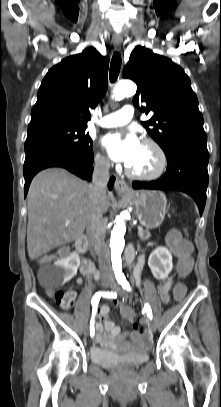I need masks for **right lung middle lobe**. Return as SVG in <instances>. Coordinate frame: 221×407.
Masks as SVG:
<instances>
[{
	"mask_svg": "<svg viewBox=\"0 0 221 407\" xmlns=\"http://www.w3.org/2000/svg\"><path fill=\"white\" fill-rule=\"evenodd\" d=\"M87 126L49 124L28 128L25 152L37 145H55L74 152L78 157H93L92 139L85 132Z\"/></svg>",
	"mask_w": 221,
	"mask_h": 407,
	"instance_id": "1",
	"label": "right lung middle lobe"
}]
</instances>
